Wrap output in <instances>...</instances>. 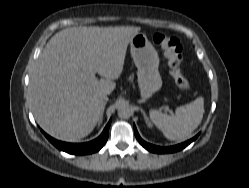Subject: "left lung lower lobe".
I'll list each match as a JSON object with an SVG mask.
<instances>
[{
  "instance_id": "left-lung-lower-lobe-1",
  "label": "left lung lower lobe",
  "mask_w": 249,
  "mask_h": 188,
  "mask_svg": "<svg viewBox=\"0 0 249 188\" xmlns=\"http://www.w3.org/2000/svg\"><path fill=\"white\" fill-rule=\"evenodd\" d=\"M134 132H135V136H136L137 140L139 141V143L145 149H147L150 152H154V153H171V152H176V151L182 150L183 148H185L187 145H189L191 142H193L197 138V136H195L194 138H192V139H190L182 144L172 146V147H159V146L151 145V144L143 141L141 139V137L139 136L135 125H134Z\"/></svg>"
}]
</instances>
